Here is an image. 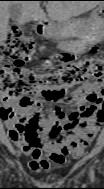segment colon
<instances>
[{
    "mask_svg": "<svg viewBox=\"0 0 104 189\" xmlns=\"http://www.w3.org/2000/svg\"><path fill=\"white\" fill-rule=\"evenodd\" d=\"M34 53V42L18 31L10 32L4 39L0 54L6 65L1 72L0 88L5 101L26 105L32 96L55 100L63 96V88L84 82L101 91L104 60L100 57L68 59L56 68L37 72L24 68Z\"/></svg>",
    "mask_w": 104,
    "mask_h": 189,
    "instance_id": "5ec220e1",
    "label": "colon"
}]
</instances>
